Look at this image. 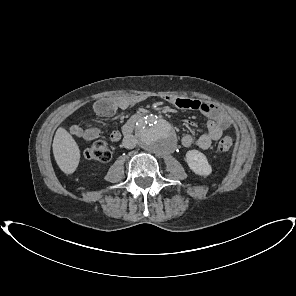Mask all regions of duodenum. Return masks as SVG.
I'll list each match as a JSON object with an SVG mask.
<instances>
[{"instance_id":"obj_1","label":"duodenum","mask_w":296,"mask_h":296,"mask_svg":"<svg viewBox=\"0 0 296 296\" xmlns=\"http://www.w3.org/2000/svg\"><path fill=\"white\" fill-rule=\"evenodd\" d=\"M146 114H148V111L146 110H142L136 114H134L122 127V132L123 135H129L132 133V131L135 128V124L137 122V120L143 116H145Z\"/></svg>"}]
</instances>
